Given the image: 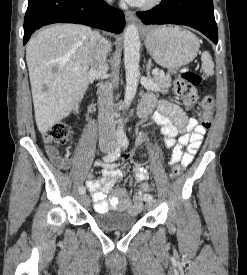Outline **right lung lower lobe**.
<instances>
[{"mask_svg": "<svg viewBox=\"0 0 247 275\" xmlns=\"http://www.w3.org/2000/svg\"><path fill=\"white\" fill-rule=\"evenodd\" d=\"M53 23H77L120 33L125 25L123 12L103 0H29L24 19L25 45L31 34Z\"/></svg>", "mask_w": 247, "mask_h": 275, "instance_id": "98d812e1", "label": "right lung lower lobe"}]
</instances>
